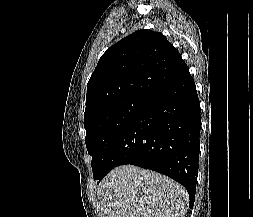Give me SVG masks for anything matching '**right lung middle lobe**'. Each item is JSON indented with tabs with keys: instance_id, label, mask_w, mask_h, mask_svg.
Listing matches in <instances>:
<instances>
[{
	"instance_id": "obj_1",
	"label": "right lung middle lobe",
	"mask_w": 253,
	"mask_h": 217,
	"mask_svg": "<svg viewBox=\"0 0 253 217\" xmlns=\"http://www.w3.org/2000/svg\"><path fill=\"white\" fill-rule=\"evenodd\" d=\"M149 98L128 97L109 104L84 121L85 143L92 156L93 178L105 172L106 161L118 139L129 127Z\"/></svg>"
}]
</instances>
